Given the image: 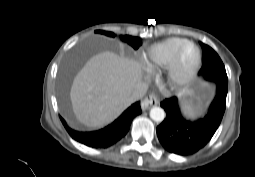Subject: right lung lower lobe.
Returning <instances> with one entry per match:
<instances>
[{"mask_svg":"<svg viewBox=\"0 0 255 177\" xmlns=\"http://www.w3.org/2000/svg\"><path fill=\"white\" fill-rule=\"evenodd\" d=\"M139 114H141L140 102H135L113 123L101 130L93 132L73 130L66 124L64 119L60 118L70 136L76 141L92 148H107L126 135L133 118Z\"/></svg>","mask_w":255,"mask_h":177,"instance_id":"98d812e1","label":"right lung lower lobe"}]
</instances>
